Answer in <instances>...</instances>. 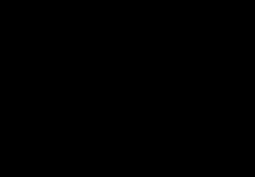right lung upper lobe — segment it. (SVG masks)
I'll use <instances>...</instances> for the list:
<instances>
[{
    "instance_id": "right-lung-upper-lobe-1",
    "label": "right lung upper lobe",
    "mask_w": 255,
    "mask_h": 177,
    "mask_svg": "<svg viewBox=\"0 0 255 177\" xmlns=\"http://www.w3.org/2000/svg\"><path fill=\"white\" fill-rule=\"evenodd\" d=\"M108 45L101 36L83 34L72 38L52 59L46 75V97L58 124L67 131L77 130L91 110L92 83Z\"/></svg>"
}]
</instances>
